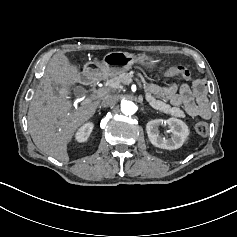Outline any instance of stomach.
Segmentation results:
<instances>
[{"instance_id": "obj_1", "label": "stomach", "mask_w": 237, "mask_h": 237, "mask_svg": "<svg viewBox=\"0 0 237 237\" xmlns=\"http://www.w3.org/2000/svg\"><path fill=\"white\" fill-rule=\"evenodd\" d=\"M161 59L151 54L134 55L128 52L112 51L103 56L100 63H94L100 78L107 79L125 73L134 65H140L150 72L159 68Z\"/></svg>"}]
</instances>
